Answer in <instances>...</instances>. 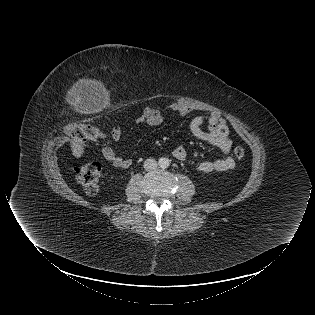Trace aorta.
<instances>
[{"instance_id": "762f6f07", "label": "aorta", "mask_w": 315, "mask_h": 315, "mask_svg": "<svg viewBox=\"0 0 315 315\" xmlns=\"http://www.w3.org/2000/svg\"><path fill=\"white\" fill-rule=\"evenodd\" d=\"M169 164H170V161L168 158H160L159 159V166L161 168H168L169 167Z\"/></svg>"}]
</instances>
